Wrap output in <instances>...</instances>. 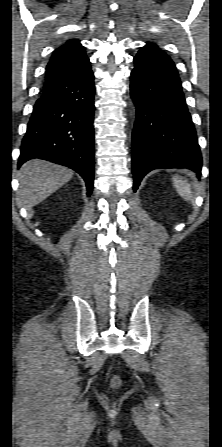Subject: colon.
<instances>
[{
	"instance_id": "obj_1",
	"label": "colon",
	"mask_w": 222,
	"mask_h": 447,
	"mask_svg": "<svg viewBox=\"0 0 222 447\" xmlns=\"http://www.w3.org/2000/svg\"><path fill=\"white\" fill-rule=\"evenodd\" d=\"M119 384H120V380H119V378H118V377H114V378L112 379V381H111V385H112L113 387H117V386H119Z\"/></svg>"
}]
</instances>
